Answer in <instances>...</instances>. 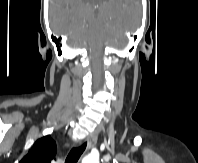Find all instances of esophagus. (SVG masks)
Segmentation results:
<instances>
[{
	"label": "esophagus",
	"mask_w": 198,
	"mask_h": 163,
	"mask_svg": "<svg viewBox=\"0 0 198 163\" xmlns=\"http://www.w3.org/2000/svg\"><path fill=\"white\" fill-rule=\"evenodd\" d=\"M97 140H98V132L95 131V132L91 133L90 136L88 137L87 149L89 150L90 148L95 146L97 143Z\"/></svg>",
	"instance_id": "1"
}]
</instances>
